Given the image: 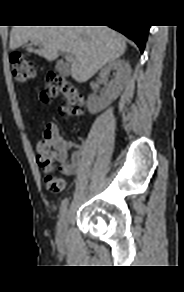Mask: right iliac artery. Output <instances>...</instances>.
<instances>
[{
	"mask_svg": "<svg viewBox=\"0 0 184 292\" xmlns=\"http://www.w3.org/2000/svg\"><path fill=\"white\" fill-rule=\"evenodd\" d=\"M68 206V199L64 198L61 202V207H60V215L63 216V214L66 212Z\"/></svg>",
	"mask_w": 184,
	"mask_h": 292,
	"instance_id": "right-iliac-artery-1",
	"label": "right iliac artery"
}]
</instances>
